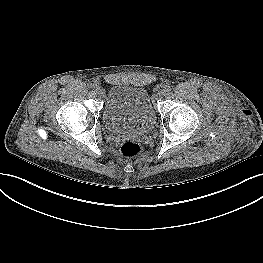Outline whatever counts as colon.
<instances>
[{
	"label": "colon",
	"mask_w": 263,
	"mask_h": 263,
	"mask_svg": "<svg viewBox=\"0 0 263 263\" xmlns=\"http://www.w3.org/2000/svg\"><path fill=\"white\" fill-rule=\"evenodd\" d=\"M141 153L140 146L133 141H126L121 146V154L126 158H135Z\"/></svg>",
	"instance_id": "obj_1"
}]
</instances>
